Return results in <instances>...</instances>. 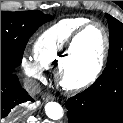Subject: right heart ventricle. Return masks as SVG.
<instances>
[{"instance_id":"obj_1","label":"right heart ventricle","mask_w":123,"mask_h":123,"mask_svg":"<svg viewBox=\"0 0 123 123\" xmlns=\"http://www.w3.org/2000/svg\"><path fill=\"white\" fill-rule=\"evenodd\" d=\"M88 21L84 17L67 18L44 30L33 44L35 61L43 69H56L65 56L71 36Z\"/></svg>"}]
</instances>
